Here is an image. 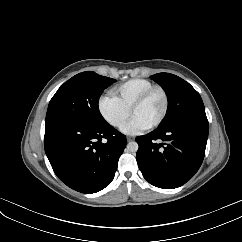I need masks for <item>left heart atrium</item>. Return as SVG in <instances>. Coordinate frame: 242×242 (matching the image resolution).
<instances>
[{
  "instance_id": "left-heart-atrium-1",
  "label": "left heart atrium",
  "mask_w": 242,
  "mask_h": 242,
  "mask_svg": "<svg viewBox=\"0 0 242 242\" xmlns=\"http://www.w3.org/2000/svg\"><path fill=\"white\" fill-rule=\"evenodd\" d=\"M148 129V126L142 123L139 119L133 117L127 124L122 128V131L126 134H138Z\"/></svg>"
}]
</instances>
